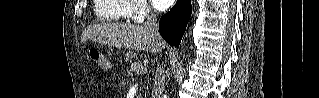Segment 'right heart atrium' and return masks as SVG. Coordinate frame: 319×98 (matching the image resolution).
Returning a JSON list of instances; mask_svg holds the SVG:
<instances>
[{"mask_svg":"<svg viewBox=\"0 0 319 98\" xmlns=\"http://www.w3.org/2000/svg\"><path fill=\"white\" fill-rule=\"evenodd\" d=\"M151 14H152V11L146 1L135 0L132 2V8H131L129 17L133 19H138Z\"/></svg>","mask_w":319,"mask_h":98,"instance_id":"right-heart-atrium-1","label":"right heart atrium"}]
</instances>
